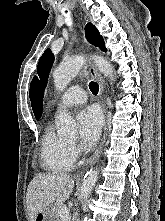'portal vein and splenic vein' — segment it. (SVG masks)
<instances>
[{"instance_id": "obj_1", "label": "portal vein and splenic vein", "mask_w": 165, "mask_h": 221, "mask_svg": "<svg viewBox=\"0 0 165 221\" xmlns=\"http://www.w3.org/2000/svg\"><path fill=\"white\" fill-rule=\"evenodd\" d=\"M60 216L64 221H67L69 217V209L67 207L62 208L60 210Z\"/></svg>"}]
</instances>
